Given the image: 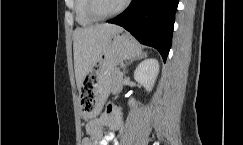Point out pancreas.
I'll list each match as a JSON object with an SVG mask.
<instances>
[{"label": "pancreas", "mask_w": 243, "mask_h": 145, "mask_svg": "<svg viewBox=\"0 0 243 145\" xmlns=\"http://www.w3.org/2000/svg\"><path fill=\"white\" fill-rule=\"evenodd\" d=\"M119 71L115 70L113 72V85L115 89H120L122 87V77L119 75Z\"/></svg>", "instance_id": "cf45deb5"}]
</instances>
